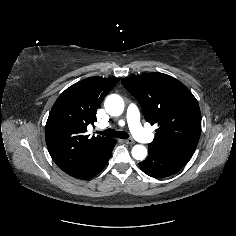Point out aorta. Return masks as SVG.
Segmentation results:
<instances>
[{
  "label": "aorta",
  "instance_id": "aorta-1",
  "mask_svg": "<svg viewBox=\"0 0 236 236\" xmlns=\"http://www.w3.org/2000/svg\"><path fill=\"white\" fill-rule=\"evenodd\" d=\"M105 110L111 116H120L124 110V101L121 96L111 94L106 97L104 102ZM132 157L136 160H144L147 156V149L143 145H135L132 148Z\"/></svg>",
  "mask_w": 236,
  "mask_h": 236
}]
</instances>
